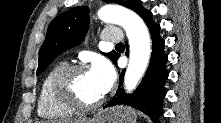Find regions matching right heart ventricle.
Masks as SVG:
<instances>
[{
    "mask_svg": "<svg viewBox=\"0 0 221 123\" xmlns=\"http://www.w3.org/2000/svg\"><path fill=\"white\" fill-rule=\"evenodd\" d=\"M66 66L65 62H59L46 73L39 92L37 112L45 119H65L71 117L75 111L59 103L53 94V80L57 73Z\"/></svg>",
    "mask_w": 221,
    "mask_h": 123,
    "instance_id": "e07e8e85",
    "label": "right heart ventricle"
}]
</instances>
